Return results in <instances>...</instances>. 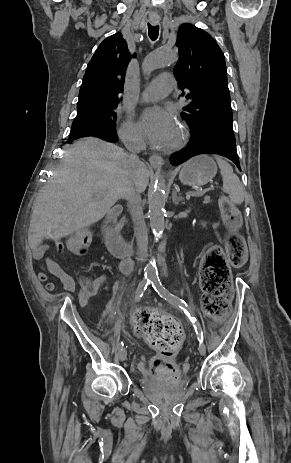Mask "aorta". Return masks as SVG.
<instances>
[{
	"label": "aorta",
	"instance_id": "aorta-1",
	"mask_svg": "<svg viewBox=\"0 0 291 463\" xmlns=\"http://www.w3.org/2000/svg\"><path fill=\"white\" fill-rule=\"evenodd\" d=\"M177 53L172 49H160L150 54L143 63L144 73H150L156 69L169 65L175 61ZM166 186L163 181H159L150 190L149 203V219L150 226L155 235L160 236L165 228L164 213L166 202ZM145 276L152 278L156 276V269L152 264L145 267Z\"/></svg>",
	"mask_w": 291,
	"mask_h": 463
}]
</instances>
